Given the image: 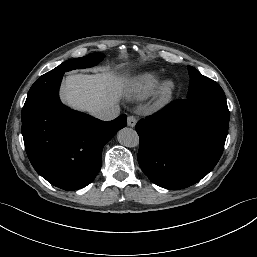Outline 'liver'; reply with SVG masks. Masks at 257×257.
Wrapping results in <instances>:
<instances>
[{
	"mask_svg": "<svg viewBox=\"0 0 257 257\" xmlns=\"http://www.w3.org/2000/svg\"><path fill=\"white\" fill-rule=\"evenodd\" d=\"M128 87L127 77L111 73L69 75L61 88V99L74 109L92 113L99 107L117 105Z\"/></svg>",
	"mask_w": 257,
	"mask_h": 257,
	"instance_id": "liver-1",
	"label": "liver"
}]
</instances>
